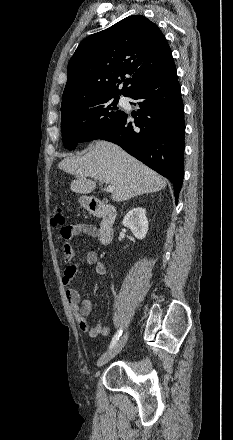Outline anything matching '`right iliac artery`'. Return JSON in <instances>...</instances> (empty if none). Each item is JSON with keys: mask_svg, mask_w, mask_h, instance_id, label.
Wrapping results in <instances>:
<instances>
[{"mask_svg": "<svg viewBox=\"0 0 233 440\" xmlns=\"http://www.w3.org/2000/svg\"><path fill=\"white\" fill-rule=\"evenodd\" d=\"M122 332H123L122 328H120V329L116 332V334H115L114 337L112 338V341H111V344H110V347H109L110 349L113 348V347L116 345V343L118 342L119 338H120L121 335H122Z\"/></svg>", "mask_w": 233, "mask_h": 440, "instance_id": "82829eb1", "label": "right iliac artery"}]
</instances>
